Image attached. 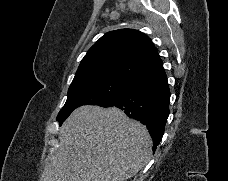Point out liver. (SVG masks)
I'll return each instance as SVG.
<instances>
[{
	"mask_svg": "<svg viewBox=\"0 0 228 181\" xmlns=\"http://www.w3.org/2000/svg\"><path fill=\"white\" fill-rule=\"evenodd\" d=\"M42 181H128L147 165L153 141L117 109L83 105L63 123Z\"/></svg>",
	"mask_w": 228,
	"mask_h": 181,
	"instance_id": "6515ba94",
	"label": "liver"
}]
</instances>
